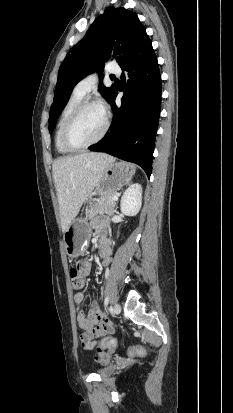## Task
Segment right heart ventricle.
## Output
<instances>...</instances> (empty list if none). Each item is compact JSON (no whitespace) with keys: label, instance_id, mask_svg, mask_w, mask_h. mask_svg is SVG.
Returning <instances> with one entry per match:
<instances>
[{"label":"right heart ventricle","instance_id":"right-heart-ventricle-1","mask_svg":"<svg viewBox=\"0 0 233 413\" xmlns=\"http://www.w3.org/2000/svg\"><path fill=\"white\" fill-rule=\"evenodd\" d=\"M83 97L84 96H81L73 92L72 95L67 100L60 114V117L58 119L56 131H55V146H56L57 151L61 154H66L70 152L66 150L61 144L60 133H61L62 126L65 120L67 119V117L69 116V114L72 112V110L83 100Z\"/></svg>","mask_w":233,"mask_h":413}]
</instances>
